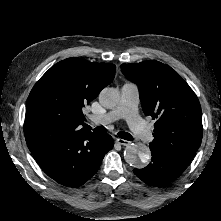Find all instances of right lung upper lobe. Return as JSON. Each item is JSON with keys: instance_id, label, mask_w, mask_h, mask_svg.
<instances>
[{"instance_id": "1", "label": "right lung upper lobe", "mask_w": 221, "mask_h": 221, "mask_svg": "<svg viewBox=\"0 0 221 221\" xmlns=\"http://www.w3.org/2000/svg\"><path fill=\"white\" fill-rule=\"evenodd\" d=\"M115 65L68 58L52 66L35 84L26 104L24 133L36 154L91 128L84 124L83 108L109 85Z\"/></svg>"}]
</instances>
